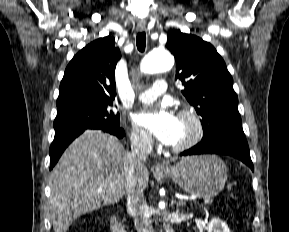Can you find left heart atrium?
<instances>
[{
  "label": "left heart atrium",
  "mask_w": 289,
  "mask_h": 232,
  "mask_svg": "<svg viewBox=\"0 0 289 232\" xmlns=\"http://www.w3.org/2000/svg\"><path fill=\"white\" fill-rule=\"evenodd\" d=\"M135 122L160 142L173 145L178 133V117L165 105L145 109L135 115Z\"/></svg>",
  "instance_id": "obj_1"
}]
</instances>
